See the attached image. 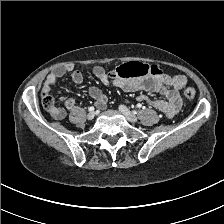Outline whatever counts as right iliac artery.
<instances>
[{
  "label": "right iliac artery",
  "mask_w": 224,
  "mask_h": 224,
  "mask_svg": "<svg viewBox=\"0 0 224 224\" xmlns=\"http://www.w3.org/2000/svg\"><path fill=\"white\" fill-rule=\"evenodd\" d=\"M88 111H89V112L94 111V107H93V106L89 107V108H88Z\"/></svg>",
  "instance_id": "right-iliac-artery-1"
}]
</instances>
